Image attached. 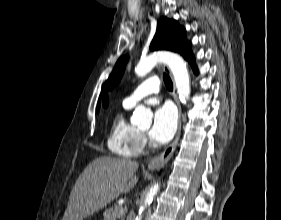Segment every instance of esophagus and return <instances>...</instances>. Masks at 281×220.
Returning a JSON list of instances; mask_svg holds the SVG:
<instances>
[{
  "mask_svg": "<svg viewBox=\"0 0 281 220\" xmlns=\"http://www.w3.org/2000/svg\"><path fill=\"white\" fill-rule=\"evenodd\" d=\"M164 69L172 77L170 69L168 67H164ZM173 95H174V99L176 101V104L178 107V112H179L178 129H177L176 137H175L174 141L161 154L154 157L150 161V163L148 164V169H150V170L157 169V168L163 166L166 162H168V160L173 155V152L175 151L177 144L179 142V139H180L181 125H182V121H181L182 110H181V106L179 103L178 93H177L175 85H174Z\"/></svg>",
  "mask_w": 281,
  "mask_h": 220,
  "instance_id": "1",
  "label": "esophagus"
}]
</instances>
